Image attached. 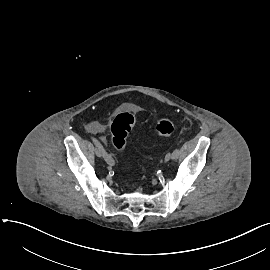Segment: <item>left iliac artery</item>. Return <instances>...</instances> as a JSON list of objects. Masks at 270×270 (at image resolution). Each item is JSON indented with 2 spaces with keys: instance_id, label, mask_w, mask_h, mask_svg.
Masks as SVG:
<instances>
[{
  "instance_id": "44dca946",
  "label": "left iliac artery",
  "mask_w": 270,
  "mask_h": 270,
  "mask_svg": "<svg viewBox=\"0 0 270 270\" xmlns=\"http://www.w3.org/2000/svg\"><path fill=\"white\" fill-rule=\"evenodd\" d=\"M179 154H180V150H179V148L177 147V148L173 151V153H172V159H173V160L178 159Z\"/></svg>"
}]
</instances>
